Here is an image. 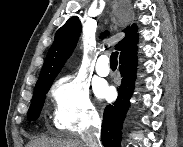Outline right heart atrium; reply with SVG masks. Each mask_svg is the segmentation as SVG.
I'll return each instance as SVG.
<instances>
[{
  "mask_svg": "<svg viewBox=\"0 0 183 147\" xmlns=\"http://www.w3.org/2000/svg\"><path fill=\"white\" fill-rule=\"evenodd\" d=\"M51 98L53 122L61 130L82 132L99 120L88 85L75 75L60 78L51 88Z\"/></svg>",
  "mask_w": 183,
  "mask_h": 147,
  "instance_id": "obj_1",
  "label": "right heart atrium"
}]
</instances>
